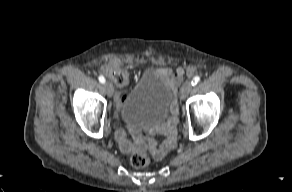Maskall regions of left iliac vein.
Masks as SVG:
<instances>
[{"label":"left iliac vein","instance_id":"4c4485c4","mask_svg":"<svg viewBox=\"0 0 292 192\" xmlns=\"http://www.w3.org/2000/svg\"><path fill=\"white\" fill-rule=\"evenodd\" d=\"M191 89H192L191 81L190 80L185 81L180 90V97L182 100L186 99Z\"/></svg>","mask_w":292,"mask_h":192}]
</instances>
